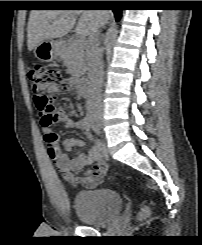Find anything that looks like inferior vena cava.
I'll return each mask as SVG.
<instances>
[{"instance_id": "obj_1", "label": "inferior vena cava", "mask_w": 202, "mask_h": 245, "mask_svg": "<svg viewBox=\"0 0 202 245\" xmlns=\"http://www.w3.org/2000/svg\"><path fill=\"white\" fill-rule=\"evenodd\" d=\"M99 29V28H98ZM96 29L89 36L86 50L87 70L89 79V91L86 101L89 114H101V88L103 84L102 55L99 48V30Z\"/></svg>"}]
</instances>
